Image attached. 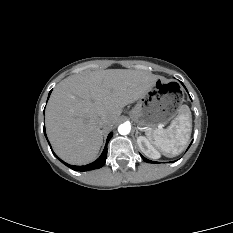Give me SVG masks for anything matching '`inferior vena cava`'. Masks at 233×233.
Returning <instances> with one entry per match:
<instances>
[{
  "instance_id": "obj_1",
  "label": "inferior vena cava",
  "mask_w": 233,
  "mask_h": 233,
  "mask_svg": "<svg viewBox=\"0 0 233 233\" xmlns=\"http://www.w3.org/2000/svg\"><path fill=\"white\" fill-rule=\"evenodd\" d=\"M108 125V120L106 119V118H101V120H100V126L101 127H106Z\"/></svg>"
}]
</instances>
